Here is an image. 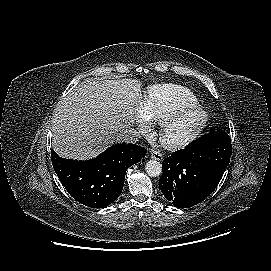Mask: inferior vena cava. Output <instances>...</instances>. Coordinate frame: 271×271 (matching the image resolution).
I'll use <instances>...</instances> for the list:
<instances>
[{"instance_id":"obj_1","label":"inferior vena cava","mask_w":271,"mask_h":271,"mask_svg":"<svg viewBox=\"0 0 271 271\" xmlns=\"http://www.w3.org/2000/svg\"><path fill=\"white\" fill-rule=\"evenodd\" d=\"M141 138L140 133L134 128H128L119 133L117 137L118 142H124L127 144H134Z\"/></svg>"}]
</instances>
